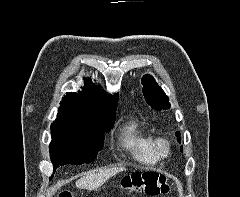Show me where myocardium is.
<instances>
[{"instance_id": "f54148a6", "label": "myocardium", "mask_w": 240, "mask_h": 197, "mask_svg": "<svg viewBox=\"0 0 240 197\" xmlns=\"http://www.w3.org/2000/svg\"><path fill=\"white\" fill-rule=\"evenodd\" d=\"M153 147L158 158H166L170 154V142L163 137L154 139Z\"/></svg>"}]
</instances>
